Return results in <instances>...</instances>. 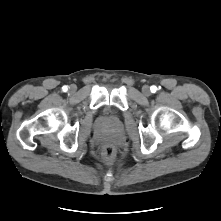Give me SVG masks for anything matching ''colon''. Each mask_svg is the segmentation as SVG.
Here are the masks:
<instances>
[{"label": "colon", "instance_id": "1", "mask_svg": "<svg viewBox=\"0 0 221 221\" xmlns=\"http://www.w3.org/2000/svg\"><path fill=\"white\" fill-rule=\"evenodd\" d=\"M116 154L117 148L113 143L107 142L102 147V156L107 162L113 161L116 157Z\"/></svg>", "mask_w": 221, "mask_h": 221}]
</instances>
